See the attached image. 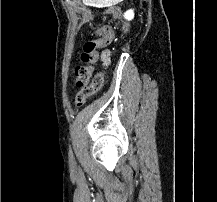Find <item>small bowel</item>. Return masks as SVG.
I'll return each instance as SVG.
<instances>
[{
	"instance_id": "c3829d8e",
	"label": "small bowel",
	"mask_w": 217,
	"mask_h": 202,
	"mask_svg": "<svg viewBox=\"0 0 217 202\" xmlns=\"http://www.w3.org/2000/svg\"><path fill=\"white\" fill-rule=\"evenodd\" d=\"M102 57H103V60H104L106 63L109 62L110 58H109V53H108V52L103 53Z\"/></svg>"
}]
</instances>
